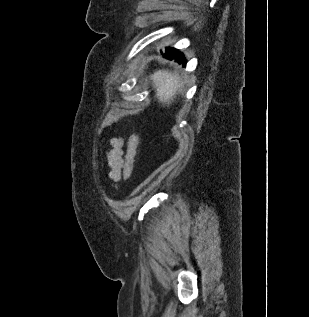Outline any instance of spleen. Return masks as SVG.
Returning <instances> with one entry per match:
<instances>
[{"mask_svg": "<svg viewBox=\"0 0 309 317\" xmlns=\"http://www.w3.org/2000/svg\"><path fill=\"white\" fill-rule=\"evenodd\" d=\"M159 101L168 103L176 95L180 87V78L167 71H157L152 75Z\"/></svg>", "mask_w": 309, "mask_h": 317, "instance_id": "spleen-1", "label": "spleen"}]
</instances>
